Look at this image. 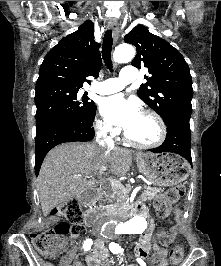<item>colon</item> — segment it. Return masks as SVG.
I'll list each match as a JSON object with an SVG mask.
<instances>
[{
	"mask_svg": "<svg viewBox=\"0 0 221 266\" xmlns=\"http://www.w3.org/2000/svg\"><path fill=\"white\" fill-rule=\"evenodd\" d=\"M185 193L184 185H177L169 189L165 194L155 199V208L161 219H166L171 212V205L176 203ZM54 215L60 216L65 221L60 222L54 229L32 233L31 240L35 248L43 255L54 257L61 246V237L71 235L80 236L84 233L81 225L82 207L76 199H71L53 211ZM157 240L163 245H169L173 236L165 231L157 233ZM184 255L183 248L179 245L171 248L170 259L172 263H179Z\"/></svg>",
	"mask_w": 221,
	"mask_h": 266,
	"instance_id": "colon-1",
	"label": "colon"
}]
</instances>
